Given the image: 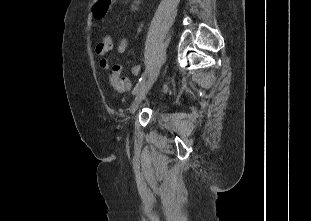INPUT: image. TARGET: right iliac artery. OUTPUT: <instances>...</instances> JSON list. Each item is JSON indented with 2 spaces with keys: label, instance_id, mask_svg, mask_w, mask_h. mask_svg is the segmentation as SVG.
Instances as JSON below:
<instances>
[{
  "label": "right iliac artery",
  "instance_id": "1",
  "mask_svg": "<svg viewBox=\"0 0 311 221\" xmlns=\"http://www.w3.org/2000/svg\"><path fill=\"white\" fill-rule=\"evenodd\" d=\"M146 78V72H144L141 76V78L139 79L138 83L136 84V86L134 87L132 94L135 95L137 93V91L140 89V87L142 86V84L144 83Z\"/></svg>",
  "mask_w": 311,
  "mask_h": 221
}]
</instances>
